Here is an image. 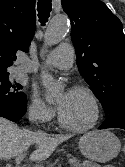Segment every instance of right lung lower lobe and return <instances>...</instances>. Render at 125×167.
Listing matches in <instances>:
<instances>
[{"mask_svg": "<svg viewBox=\"0 0 125 167\" xmlns=\"http://www.w3.org/2000/svg\"><path fill=\"white\" fill-rule=\"evenodd\" d=\"M26 109V99L23 102H12L0 97V117L15 122L25 115Z\"/></svg>", "mask_w": 125, "mask_h": 167, "instance_id": "right-lung-lower-lobe-1", "label": "right lung lower lobe"}]
</instances>
